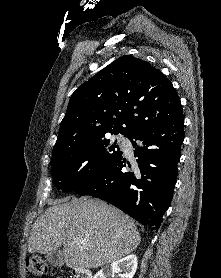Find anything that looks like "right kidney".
<instances>
[{
  "instance_id": "ca27d5eb",
  "label": "right kidney",
  "mask_w": 221,
  "mask_h": 278,
  "mask_svg": "<svg viewBox=\"0 0 221 278\" xmlns=\"http://www.w3.org/2000/svg\"><path fill=\"white\" fill-rule=\"evenodd\" d=\"M137 269V257L128 255L123 259L113 262L98 271L94 278H110L118 273L120 278H133Z\"/></svg>"
}]
</instances>
